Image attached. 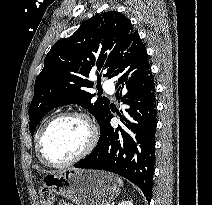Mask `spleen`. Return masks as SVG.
<instances>
[{
  "mask_svg": "<svg viewBox=\"0 0 212 205\" xmlns=\"http://www.w3.org/2000/svg\"><path fill=\"white\" fill-rule=\"evenodd\" d=\"M117 182H118L119 186H123V181L121 178L117 177Z\"/></svg>",
  "mask_w": 212,
  "mask_h": 205,
  "instance_id": "3e777b00",
  "label": "spleen"
}]
</instances>
